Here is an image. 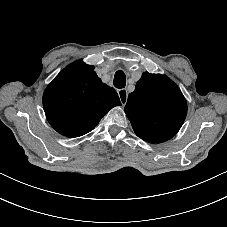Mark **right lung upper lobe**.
<instances>
[{
	"instance_id": "right-lung-upper-lobe-1",
	"label": "right lung upper lobe",
	"mask_w": 227,
	"mask_h": 227,
	"mask_svg": "<svg viewBox=\"0 0 227 227\" xmlns=\"http://www.w3.org/2000/svg\"><path fill=\"white\" fill-rule=\"evenodd\" d=\"M117 105L121 102L114 88L104 84L94 67L81 60L62 70L43 95L48 122L58 133L71 138L93 130Z\"/></svg>"
}]
</instances>
